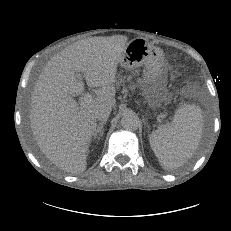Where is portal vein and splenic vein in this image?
<instances>
[{"label":"portal vein and splenic vein","instance_id":"obj_1","mask_svg":"<svg viewBox=\"0 0 231 231\" xmlns=\"http://www.w3.org/2000/svg\"><path fill=\"white\" fill-rule=\"evenodd\" d=\"M80 76V75H79ZM92 95L90 93H85L80 100V107H85L92 102Z\"/></svg>","mask_w":231,"mask_h":231}]
</instances>
